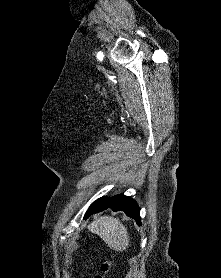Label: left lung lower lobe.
Returning <instances> with one entry per match:
<instances>
[{"instance_id": "obj_1", "label": "left lung lower lobe", "mask_w": 221, "mask_h": 278, "mask_svg": "<svg viewBox=\"0 0 221 278\" xmlns=\"http://www.w3.org/2000/svg\"><path fill=\"white\" fill-rule=\"evenodd\" d=\"M107 208H111L114 211L122 210L127 216L135 219L138 225H141L140 208L138 207L137 203L130 197L124 196L122 194L108 199L99 198L90 205L84 218L86 219L91 214L101 212Z\"/></svg>"}]
</instances>
